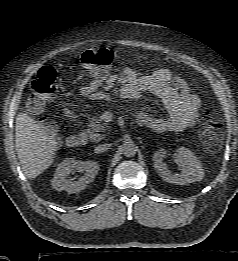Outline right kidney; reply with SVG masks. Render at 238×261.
Segmentation results:
<instances>
[{
    "instance_id": "1",
    "label": "right kidney",
    "mask_w": 238,
    "mask_h": 261,
    "mask_svg": "<svg viewBox=\"0 0 238 261\" xmlns=\"http://www.w3.org/2000/svg\"><path fill=\"white\" fill-rule=\"evenodd\" d=\"M75 170L84 172V176L77 181H72L68 176ZM98 170L99 164L96 161H80L67 158L58 165L51 184L57 191L65 190L69 193L80 192L89 183L93 182Z\"/></svg>"
}]
</instances>
